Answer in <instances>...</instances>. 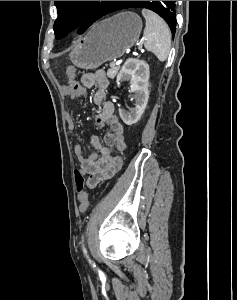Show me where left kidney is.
I'll use <instances>...</instances> for the list:
<instances>
[{
    "label": "left kidney",
    "mask_w": 237,
    "mask_h": 300,
    "mask_svg": "<svg viewBox=\"0 0 237 300\" xmlns=\"http://www.w3.org/2000/svg\"><path fill=\"white\" fill-rule=\"evenodd\" d=\"M149 65L145 61L139 59H127L120 73L117 75V83L119 81H130L131 93H135V107L124 111L119 109V115L125 125H134L140 121L149 99Z\"/></svg>",
    "instance_id": "5707ae66"
}]
</instances>
